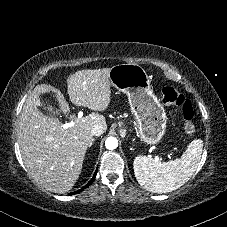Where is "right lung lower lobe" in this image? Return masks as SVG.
<instances>
[{"instance_id": "1", "label": "right lung lower lobe", "mask_w": 227, "mask_h": 227, "mask_svg": "<svg viewBox=\"0 0 227 227\" xmlns=\"http://www.w3.org/2000/svg\"><path fill=\"white\" fill-rule=\"evenodd\" d=\"M96 174H97V170H96V172H95L93 178L89 181V183H88L86 186H84L82 189L77 190V191H75V192H73V193H71V194H77V193L81 192L83 189H85L86 187H88L89 185H91L92 182H93L94 179H95Z\"/></svg>"}]
</instances>
